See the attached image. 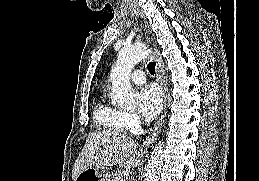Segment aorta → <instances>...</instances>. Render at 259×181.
<instances>
[{"label": "aorta", "mask_w": 259, "mask_h": 181, "mask_svg": "<svg viewBox=\"0 0 259 181\" xmlns=\"http://www.w3.org/2000/svg\"><path fill=\"white\" fill-rule=\"evenodd\" d=\"M149 55L148 48L143 44L123 47L114 67L111 69L112 104L119 108L133 109L135 100L130 84V74L134 66ZM163 164V148L161 144L154 147L148 161L144 181H158Z\"/></svg>", "instance_id": "1"}]
</instances>
